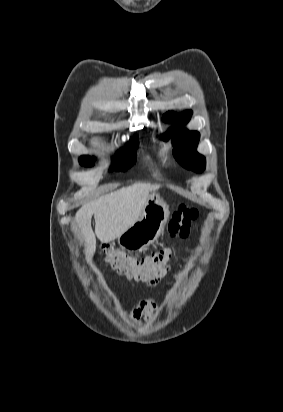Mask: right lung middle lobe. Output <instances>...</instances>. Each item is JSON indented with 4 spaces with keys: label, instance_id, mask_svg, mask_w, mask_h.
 Returning a JSON list of instances; mask_svg holds the SVG:
<instances>
[{
    "label": "right lung middle lobe",
    "instance_id": "1",
    "mask_svg": "<svg viewBox=\"0 0 283 412\" xmlns=\"http://www.w3.org/2000/svg\"><path fill=\"white\" fill-rule=\"evenodd\" d=\"M137 147L138 140L134 138L128 143L127 148L119 153L118 160L113 161L112 168L117 171H125L129 168L135 162ZM79 162L83 166H92L95 160L89 156H81Z\"/></svg>",
    "mask_w": 283,
    "mask_h": 412
}]
</instances>
